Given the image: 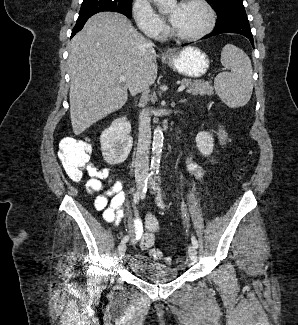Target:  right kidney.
Listing matches in <instances>:
<instances>
[{
	"label": "right kidney",
	"mask_w": 298,
	"mask_h": 325,
	"mask_svg": "<svg viewBox=\"0 0 298 325\" xmlns=\"http://www.w3.org/2000/svg\"><path fill=\"white\" fill-rule=\"evenodd\" d=\"M131 122L126 116L115 118L100 134L102 156L108 165L124 163L133 144Z\"/></svg>",
	"instance_id": "1"
}]
</instances>
